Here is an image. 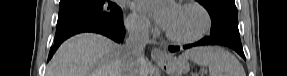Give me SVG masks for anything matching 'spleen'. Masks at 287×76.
I'll return each mask as SVG.
<instances>
[{"label": "spleen", "mask_w": 287, "mask_h": 76, "mask_svg": "<svg viewBox=\"0 0 287 76\" xmlns=\"http://www.w3.org/2000/svg\"><path fill=\"white\" fill-rule=\"evenodd\" d=\"M180 58L208 67L210 76H246L238 59L219 46L195 47L185 51Z\"/></svg>", "instance_id": "spleen-1"}]
</instances>
